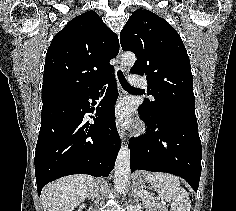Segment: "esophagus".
<instances>
[{"label": "esophagus", "instance_id": "esophagus-1", "mask_svg": "<svg viewBox=\"0 0 236 211\" xmlns=\"http://www.w3.org/2000/svg\"><path fill=\"white\" fill-rule=\"evenodd\" d=\"M121 53H122V49H121V46H120V49H119V53L116 57V68L117 70H124V67L121 63ZM120 97H121V93H120ZM117 131H118V134L120 136V138L122 140H124V137H125V130L123 129V127L121 126V124L119 123V121L117 120Z\"/></svg>", "mask_w": 236, "mask_h": 211}]
</instances>
